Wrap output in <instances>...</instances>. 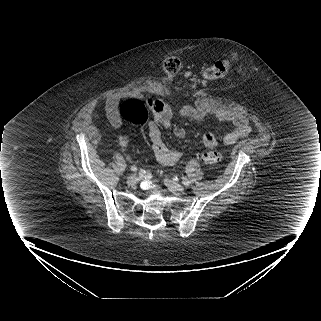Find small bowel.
Masks as SVG:
<instances>
[{"label":"small bowel","mask_w":321,"mask_h":321,"mask_svg":"<svg viewBox=\"0 0 321 321\" xmlns=\"http://www.w3.org/2000/svg\"><path fill=\"white\" fill-rule=\"evenodd\" d=\"M120 99V95H113L106 101V112L114 127H120L122 125V120L118 112ZM148 109L150 110L151 118L147 124V131L154 156L163 166L173 165L182 156V151L170 149L166 146L162 139V129L171 126L172 119L175 115L197 121L202 120L207 116L208 109L192 105L175 108L160 99L150 100L148 102ZM215 116L219 121L227 122L234 126L232 130L222 136L221 142L224 145H232L251 132V125L247 118L239 112L221 109L215 112ZM173 134L176 138L182 139L185 137L186 132L183 127L176 126L173 129ZM202 140L208 148H215L219 144L218 138L212 132L204 133ZM120 145L121 147H128L130 145V139L127 136H122L120 138Z\"/></svg>","instance_id":"c3829d8e"}]
</instances>
